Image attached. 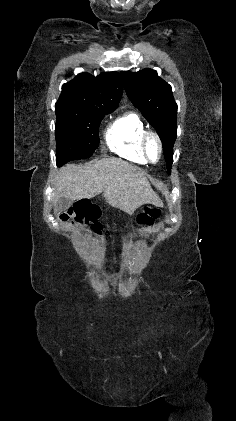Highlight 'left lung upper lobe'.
I'll return each instance as SVG.
<instances>
[{"instance_id":"1","label":"left lung upper lobe","mask_w":236,"mask_h":421,"mask_svg":"<svg viewBox=\"0 0 236 421\" xmlns=\"http://www.w3.org/2000/svg\"><path fill=\"white\" fill-rule=\"evenodd\" d=\"M120 76L131 102L156 129L163 143L166 164L172 165L177 104L171 86L148 68L135 73L121 72Z\"/></svg>"}]
</instances>
